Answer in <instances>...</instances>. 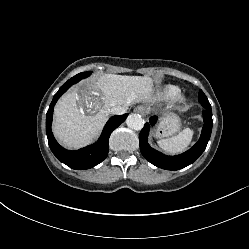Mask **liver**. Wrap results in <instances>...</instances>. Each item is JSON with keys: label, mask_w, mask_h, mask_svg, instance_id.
<instances>
[{"label": "liver", "mask_w": 249, "mask_h": 249, "mask_svg": "<svg viewBox=\"0 0 249 249\" xmlns=\"http://www.w3.org/2000/svg\"><path fill=\"white\" fill-rule=\"evenodd\" d=\"M78 91L76 87L58 101L52 127L60 143L74 149L89 144L98 135L112 107L128 108L134 103L150 102L153 85L149 77L116 74L100 76L92 81L88 91L82 93L90 115L84 113L82 106H77V101L81 99Z\"/></svg>", "instance_id": "6515ba94"}]
</instances>
